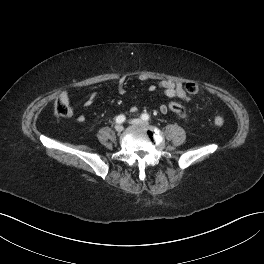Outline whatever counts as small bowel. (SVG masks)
Instances as JSON below:
<instances>
[{
    "mask_svg": "<svg viewBox=\"0 0 264 264\" xmlns=\"http://www.w3.org/2000/svg\"><path fill=\"white\" fill-rule=\"evenodd\" d=\"M140 79L142 81H145L147 79L146 76H141ZM126 77L122 76L118 80V92L120 94H124L126 92ZM158 87L161 88L164 92V95L173 98L177 97L183 101H189V96L186 92V90L183 87L182 83L179 82H174L171 80H162L159 82ZM157 88L156 85H150L149 86V91L153 92ZM96 96L95 94H91L84 102L85 106H91L95 102ZM58 100L66 103L69 106L70 103V94L67 91H63L60 93ZM135 108H133L134 110ZM159 111L163 114L167 113L168 107L165 104H161L159 106ZM72 115V111L70 110L69 116ZM77 122L83 123L85 121V116L84 115H79L76 118Z\"/></svg>",
    "mask_w": 264,
    "mask_h": 264,
    "instance_id": "1",
    "label": "small bowel"
}]
</instances>
